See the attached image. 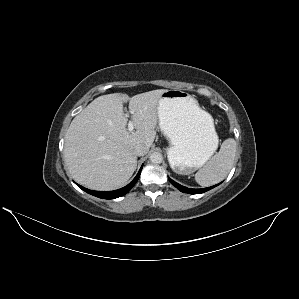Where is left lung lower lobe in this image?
Wrapping results in <instances>:
<instances>
[{"instance_id":"1","label":"left lung lower lobe","mask_w":299,"mask_h":299,"mask_svg":"<svg viewBox=\"0 0 299 299\" xmlns=\"http://www.w3.org/2000/svg\"><path fill=\"white\" fill-rule=\"evenodd\" d=\"M170 182L177 188L179 189L181 192H184V193H188V194H200V193H204L212 188H214L215 186H212V187H207V188H203V189H190V188H187V187H184L178 183H176L175 181H173L172 179H170Z\"/></svg>"}]
</instances>
